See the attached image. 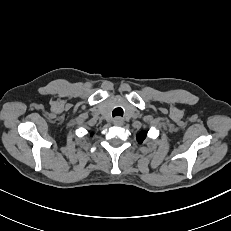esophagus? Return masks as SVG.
Returning <instances> with one entry per match:
<instances>
[{"mask_svg":"<svg viewBox=\"0 0 231 231\" xmlns=\"http://www.w3.org/2000/svg\"><path fill=\"white\" fill-rule=\"evenodd\" d=\"M113 123L116 125V126H122L124 124V120L123 118L121 117H116L114 120H113Z\"/></svg>","mask_w":231,"mask_h":231,"instance_id":"34e87169","label":"esophagus"}]
</instances>
